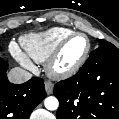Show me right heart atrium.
<instances>
[{"label":"right heart atrium","instance_id":"obj_1","mask_svg":"<svg viewBox=\"0 0 119 119\" xmlns=\"http://www.w3.org/2000/svg\"><path fill=\"white\" fill-rule=\"evenodd\" d=\"M13 54L16 56V58L21 62V64L26 67L30 68L32 66V62L30 59L25 55L15 44L11 46Z\"/></svg>","mask_w":119,"mask_h":119}]
</instances>
